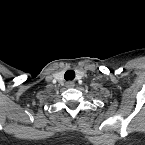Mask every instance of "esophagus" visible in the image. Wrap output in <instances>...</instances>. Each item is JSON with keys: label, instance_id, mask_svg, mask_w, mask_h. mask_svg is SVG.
Here are the masks:
<instances>
[{"label": "esophagus", "instance_id": "obj_1", "mask_svg": "<svg viewBox=\"0 0 145 145\" xmlns=\"http://www.w3.org/2000/svg\"><path fill=\"white\" fill-rule=\"evenodd\" d=\"M74 82H72V81H68V82H66V86L68 87V88H72V87H74Z\"/></svg>", "mask_w": 145, "mask_h": 145}]
</instances>
